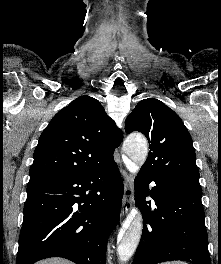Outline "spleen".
I'll list each match as a JSON object with an SVG mask.
<instances>
[{
    "label": "spleen",
    "instance_id": "3e777b00",
    "mask_svg": "<svg viewBox=\"0 0 221 264\" xmlns=\"http://www.w3.org/2000/svg\"><path fill=\"white\" fill-rule=\"evenodd\" d=\"M162 264H187V263L181 262V261H173V262H166V263H162Z\"/></svg>",
    "mask_w": 221,
    "mask_h": 264
}]
</instances>
